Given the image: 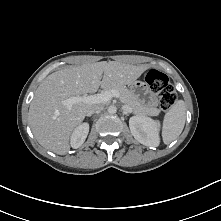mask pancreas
I'll use <instances>...</instances> for the list:
<instances>
[{"label": "pancreas", "mask_w": 221, "mask_h": 221, "mask_svg": "<svg viewBox=\"0 0 221 221\" xmlns=\"http://www.w3.org/2000/svg\"><path fill=\"white\" fill-rule=\"evenodd\" d=\"M116 90L120 94V100L128 105L132 112L137 114H149L158 115L159 110L154 107H150L142 102H140L134 94L128 90L124 85H109L103 87V91Z\"/></svg>", "instance_id": "1"}]
</instances>
